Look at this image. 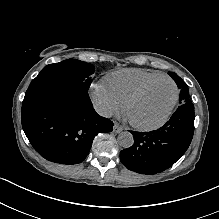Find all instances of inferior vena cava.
Listing matches in <instances>:
<instances>
[{"label": "inferior vena cava", "mask_w": 219, "mask_h": 219, "mask_svg": "<svg viewBox=\"0 0 219 219\" xmlns=\"http://www.w3.org/2000/svg\"><path fill=\"white\" fill-rule=\"evenodd\" d=\"M95 110L99 115L104 116V117H110L112 115V111L104 105L96 106Z\"/></svg>", "instance_id": "602c4592"}]
</instances>
